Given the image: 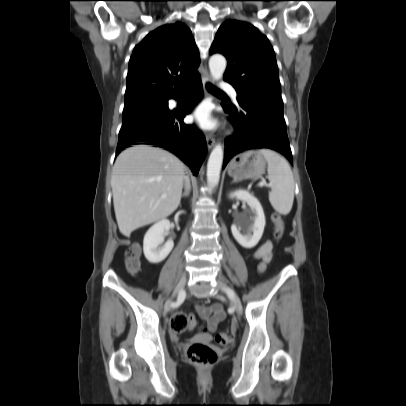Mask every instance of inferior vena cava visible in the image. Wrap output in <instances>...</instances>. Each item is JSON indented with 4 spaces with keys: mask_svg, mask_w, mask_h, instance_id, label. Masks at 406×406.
Listing matches in <instances>:
<instances>
[{
    "mask_svg": "<svg viewBox=\"0 0 406 406\" xmlns=\"http://www.w3.org/2000/svg\"><path fill=\"white\" fill-rule=\"evenodd\" d=\"M190 184V180L188 176H184V186H185V190L188 188Z\"/></svg>",
    "mask_w": 406,
    "mask_h": 406,
    "instance_id": "obj_1",
    "label": "inferior vena cava"
}]
</instances>
